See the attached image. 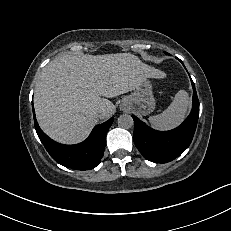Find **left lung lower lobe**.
<instances>
[{
    "label": "left lung lower lobe",
    "instance_id": "obj_1",
    "mask_svg": "<svg viewBox=\"0 0 231 231\" xmlns=\"http://www.w3.org/2000/svg\"><path fill=\"white\" fill-rule=\"evenodd\" d=\"M191 82L193 87L192 111L179 127L170 131H157L148 127L136 116H132L134 119V143L147 160L157 163L172 161L190 145L199 116V101L194 83L192 80Z\"/></svg>",
    "mask_w": 231,
    "mask_h": 231
}]
</instances>
